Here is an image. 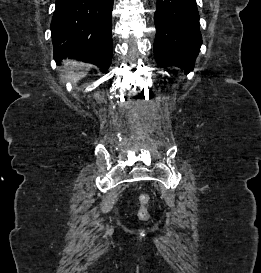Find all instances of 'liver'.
Segmentation results:
<instances>
[{
  "label": "liver",
  "mask_w": 261,
  "mask_h": 273,
  "mask_svg": "<svg viewBox=\"0 0 261 273\" xmlns=\"http://www.w3.org/2000/svg\"><path fill=\"white\" fill-rule=\"evenodd\" d=\"M83 66L84 64L79 62L69 63L68 65L69 72L67 73L66 78L72 82L79 81L81 78H83L87 74V71H79L82 69Z\"/></svg>",
  "instance_id": "1"
}]
</instances>
